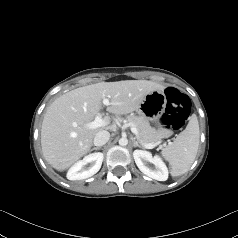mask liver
Here are the masks:
<instances>
[{
  "label": "liver",
  "mask_w": 238,
  "mask_h": 238,
  "mask_svg": "<svg viewBox=\"0 0 238 238\" xmlns=\"http://www.w3.org/2000/svg\"><path fill=\"white\" fill-rule=\"evenodd\" d=\"M164 88L152 81L125 80L91 84L63 94L48 107L42 122L41 147L45 160L63 171L90 151L95 135L102 128L89 129L87 124L99 114L104 98L110 101L109 113L126 115L137 111L147 94Z\"/></svg>",
  "instance_id": "obj_1"
}]
</instances>
